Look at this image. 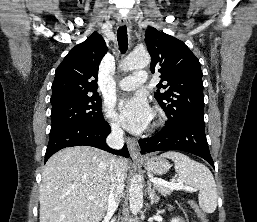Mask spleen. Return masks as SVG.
<instances>
[{"label":"spleen","mask_w":257,"mask_h":222,"mask_svg":"<svg viewBox=\"0 0 257 222\" xmlns=\"http://www.w3.org/2000/svg\"><path fill=\"white\" fill-rule=\"evenodd\" d=\"M161 157L172 159L179 180L199 191L198 201L205 213H213L217 207V187L211 171L202 163L190 159L188 156L169 151Z\"/></svg>","instance_id":"obj_1"}]
</instances>
